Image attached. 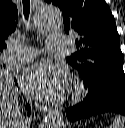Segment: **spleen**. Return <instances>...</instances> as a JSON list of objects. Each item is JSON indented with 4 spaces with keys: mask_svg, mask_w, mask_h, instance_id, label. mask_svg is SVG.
I'll return each instance as SVG.
<instances>
[{
    "mask_svg": "<svg viewBox=\"0 0 125 128\" xmlns=\"http://www.w3.org/2000/svg\"><path fill=\"white\" fill-rule=\"evenodd\" d=\"M110 128H125V117L122 116L116 117Z\"/></svg>",
    "mask_w": 125,
    "mask_h": 128,
    "instance_id": "1",
    "label": "spleen"
}]
</instances>
